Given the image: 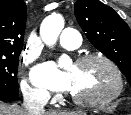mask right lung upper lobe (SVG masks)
Instances as JSON below:
<instances>
[{
    "label": "right lung upper lobe",
    "mask_w": 131,
    "mask_h": 115,
    "mask_svg": "<svg viewBox=\"0 0 131 115\" xmlns=\"http://www.w3.org/2000/svg\"><path fill=\"white\" fill-rule=\"evenodd\" d=\"M26 15L23 0H0V54L21 52Z\"/></svg>",
    "instance_id": "cb5924a9"
}]
</instances>
